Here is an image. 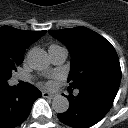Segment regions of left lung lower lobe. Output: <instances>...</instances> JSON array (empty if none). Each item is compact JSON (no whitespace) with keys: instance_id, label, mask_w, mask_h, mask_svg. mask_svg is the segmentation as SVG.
I'll list each match as a JSON object with an SVG mask.
<instances>
[{"instance_id":"left-lung-lower-lobe-1","label":"left lung lower lobe","mask_w":128,"mask_h":128,"mask_svg":"<svg viewBox=\"0 0 128 128\" xmlns=\"http://www.w3.org/2000/svg\"><path fill=\"white\" fill-rule=\"evenodd\" d=\"M120 82L98 80L79 89V94L67 97L70 107L58 114L61 122L73 128H88L98 123L110 110Z\"/></svg>"}]
</instances>
